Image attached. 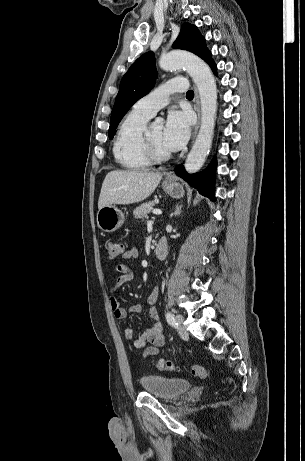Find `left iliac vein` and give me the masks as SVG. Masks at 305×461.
<instances>
[{
  "label": "left iliac vein",
  "mask_w": 305,
  "mask_h": 461,
  "mask_svg": "<svg viewBox=\"0 0 305 461\" xmlns=\"http://www.w3.org/2000/svg\"><path fill=\"white\" fill-rule=\"evenodd\" d=\"M183 321H184V318L182 315L180 314L176 315V322L178 323V327H177L178 335L182 338L188 336V332L183 326Z\"/></svg>",
  "instance_id": "obj_1"
}]
</instances>
